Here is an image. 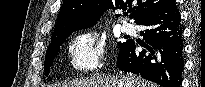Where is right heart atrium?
I'll list each match as a JSON object with an SVG mask.
<instances>
[{"label":"right heart atrium","instance_id":"obj_1","mask_svg":"<svg viewBox=\"0 0 205 87\" xmlns=\"http://www.w3.org/2000/svg\"><path fill=\"white\" fill-rule=\"evenodd\" d=\"M106 55V43L95 33L76 36L68 46L70 66L79 71H93L101 67Z\"/></svg>","mask_w":205,"mask_h":87}]
</instances>
